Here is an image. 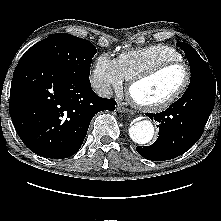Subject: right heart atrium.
I'll return each instance as SVG.
<instances>
[{
  "label": "right heart atrium",
  "instance_id": "obj_1",
  "mask_svg": "<svg viewBox=\"0 0 221 221\" xmlns=\"http://www.w3.org/2000/svg\"><path fill=\"white\" fill-rule=\"evenodd\" d=\"M90 81L102 93L120 92L123 89L124 77L119 70L117 60L103 53L94 61Z\"/></svg>",
  "mask_w": 221,
  "mask_h": 221
}]
</instances>
